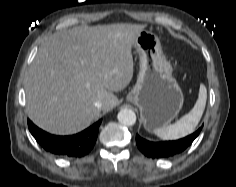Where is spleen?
Returning a JSON list of instances; mask_svg holds the SVG:
<instances>
[{"label":"spleen","instance_id":"3e777b00","mask_svg":"<svg viewBox=\"0 0 236 187\" xmlns=\"http://www.w3.org/2000/svg\"><path fill=\"white\" fill-rule=\"evenodd\" d=\"M207 91L200 86L198 99L192 110L172 125L157 128L154 133L164 140H176L191 134L198 125L206 105Z\"/></svg>","mask_w":236,"mask_h":187}]
</instances>
